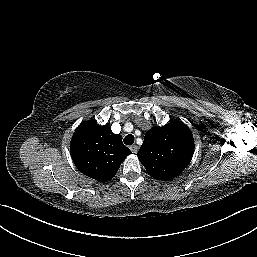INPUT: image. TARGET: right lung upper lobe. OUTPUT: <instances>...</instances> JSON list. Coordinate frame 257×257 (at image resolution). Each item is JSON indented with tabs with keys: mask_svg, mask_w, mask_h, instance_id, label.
Listing matches in <instances>:
<instances>
[{
	"mask_svg": "<svg viewBox=\"0 0 257 257\" xmlns=\"http://www.w3.org/2000/svg\"><path fill=\"white\" fill-rule=\"evenodd\" d=\"M132 152L107 125L94 120L81 123L75 130L70 154L75 166L88 177L99 182L112 179L126 156Z\"/></svg>",
	"mask_w": 257,
	"mask_h": 257,
	"instance_id": "obj_1",
	"label": "right lung upper lobe"
}]
</instances>
